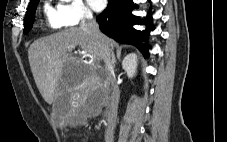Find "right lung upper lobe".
<instances>
[{"mask_svg":"<svg viewBox=\"0 0 227 142\" xmlns=\"http://www.w3.org/2000/svg\"><path fill=\"white\" fill-rule=\"evenodd\" d=\"M34 1H36V0H31V2H30V3L34 2Z\"/></svg>","mask_w":227,"mask_h":142,"instance_id":"obj_1","label":"right lung upper lobe"}]
</instances>
